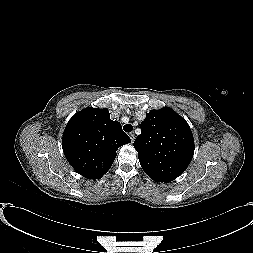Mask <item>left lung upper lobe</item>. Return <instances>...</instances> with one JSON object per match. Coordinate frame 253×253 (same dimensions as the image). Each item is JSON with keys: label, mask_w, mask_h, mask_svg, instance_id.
<instances>
[{"label": "left lung upper lobe", "mask_w": 253, "mask_h": 253, "mask_svg": "<svg viewBox=\"0 0 253 253\" xmlns=\"http://www.w3.org/2000/svg\"><path fill=\"white\" fill-rule=\"evenodd\" d=\"M134 147L145 173L156 182H170L188 167L194 139L188 123L169 107L151 110L141 122Z\"/></svg>", "instance_id": "obj_1"}]
</instances>
